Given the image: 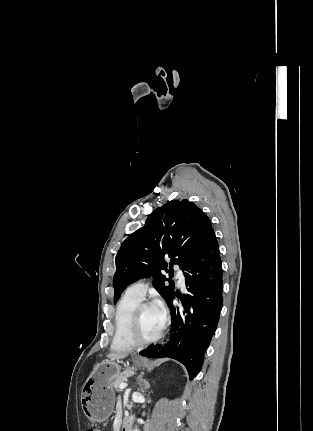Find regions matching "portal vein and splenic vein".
Wrapping results in <instances>:
<instances>
[{
    "label": "portal vein and splenic vein",
    "mask_w": 313,
    "mask_h": 431,
    "mask_svg": "<svg viewBox=\"0 0 313 431\" xmlns=\"http://www.w3.org/2000/svg\"><path fill=\"white\" fill-rule=\"evenodd\" d=\"M128 385L126 383H121L119 388L120 389H125Z\"/></svg>",
    "instance_id": "1"
}]
</instances>
